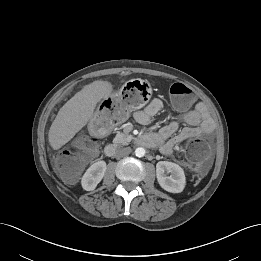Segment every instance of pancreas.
I'll use <instances>...</instances> for the list:
<instances>
[{"label":"pancreas","instance_id":"pancreas-1","mask_svg":"<svg viewBox=\"0 0 261 261\" xmlns=\"http://www.w3.org/2000/svg\"><path fill=\"white\" fill-rule=\"evenodd\" d=\"M132 140V136L129 135L126 132H118L113 139V142L116 144H121V145H128L129 142Z\"/></svg>","mask_w":261,"mask_h":261}]
</instances>
